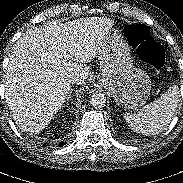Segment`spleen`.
<instances>
[{"label":"spleen","instance_id":"1","mask_svg":"<svg viewBox=\"0 0 183 183\" xmlns=\"http://www.w3.org/2000/svg\"><path fill=\"white\" fill-rule=\"evenodd\" d=\"M178 101L179 89L177 85H173L159 99L147 104L138 113H124V119L135 132L156 135L169 126Z\"/></svg>","mask_w":183,"mask_h":183}]
</instances>
